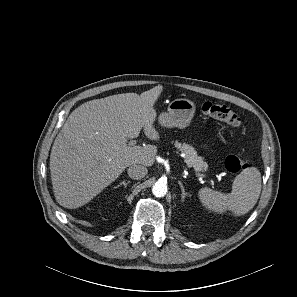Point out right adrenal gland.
<instances>
[{"mask_svg": "<svg viewBox=\"0 0 297 297\" xmlns=\"http://www.w3.org/2000/svg\"><path fill=\"white\" fill-rule=\"evenodd\" d=\"M130 183V181L128 180V181H122V182H120L115 188H118V187H120L121 185H124V187H127V185Z\"/></svg>", "mask_w": 297, "mask_h": 297, "instance_id": "1", "label": "right adrenal gland"}]
</instances>
